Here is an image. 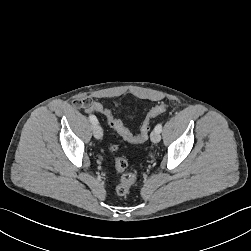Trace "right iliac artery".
Masks as SVG:
<instances>
[{
    "instance_id": "82829eb1",
    "label": "right iliac artery",
    "mask_w": 251,
    "mask_h": 251,
    "mask_svg": "<svg viewBox=\"0 0 251 251\" xmlns=\"http://www.w3.org/2000/svg\"><path fill=\"white\" fill-rule=\"evenodd\" d=\"M89 120H90V122L92 124H97L98 123V120H97L96 116H94V115H90Z\"/></svg>"
}]
</instances>
